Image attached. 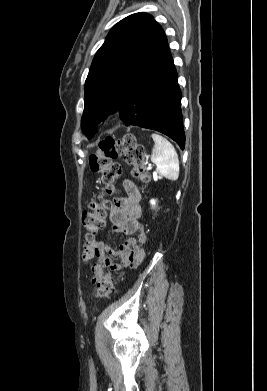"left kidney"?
<instances>
[{
  "label": "left kidney",
  "mask_w": 267,
  "mask_h": 391,
  "mask_svg": "<svg viewBox=\"0 0 267 391\" xmlns=\"http://www.w3.org/2000/svg\"><path fill=\"white\" fill-rule=\"evenodd\" d=\"M150 203H151L152 205H155V204H156V201H155V200H151Z\"/></svg>",
  "instance_id": "obj_1"
}]
</instances>
